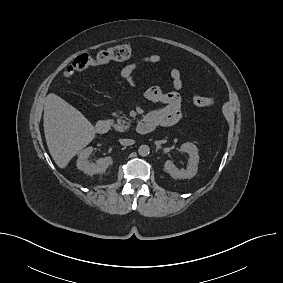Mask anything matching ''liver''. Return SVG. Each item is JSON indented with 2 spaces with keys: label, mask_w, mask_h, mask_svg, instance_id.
<instances>
[{
  "label": "liver",
  "mask_w": 283,
  "mask_h": 283,
  "mask_svg": "<svg viewBox=\"0 0 283 283\" xmlns=\"http://www.w3.org/2000/svg\"><path fill=\"white\" fill-rule=\"evenodd\" d=\"M43 126L49 152L60 168H65L96 134L80 111L54 93L45 98Z\"/></svg>",
  "instance_id": "1"
}]
</instances>
